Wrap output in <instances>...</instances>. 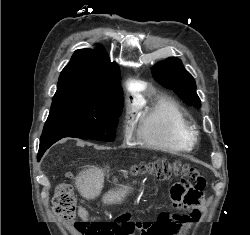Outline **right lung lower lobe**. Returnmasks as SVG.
I'll return each instance as SVG.
<instances>
[{
	"instance_id": "1",
	"label": "right lung lower lobe",
	"mask_w": 250,
	"mask_h": 235,
	"mask_svg": "<svg viewBox=\"0 0 250 235\" xmlns=\"http://www.w3.org/2000/svg\"><path fill=\"white\" fill-rule=\"evenodd\" d=\"M61 138H50L44 141H40L39 153H38V161L42 157L43 153L56 141L60 140Z\"/></svg>"
}]
</instances>
